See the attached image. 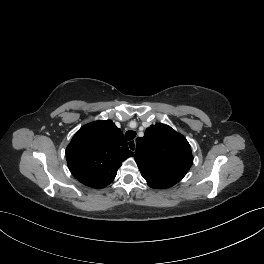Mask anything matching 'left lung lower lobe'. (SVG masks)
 <instances>
[{"mask_svg": "<svg viewBox=\"0 0 264 264\" xmlns=\"http://www.w3.org/2000/svg\"><path fill=\"white\" fill-rule=\"evenodd\" d=\"M148 185L152 188H168L176 184L172 179L166 176L153 175L150 177H144Z\"/></svg>", "mask_w": 264, "mask_h": 264, "instance_id": "obj_1", "label": "left lung lower lobe"}]
</instances>
